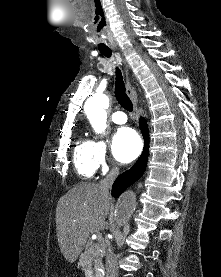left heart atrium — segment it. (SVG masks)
Masks as SVG:
<instances>
[{
	"instance_id": "left-heart-atrium-1",
	"label": "left heart atrium",
	"mask_w": 221,
	"mask_h": 277,
	"mask_svg": "<svg viewBox=\"0 0 221 277\" xmlns=\"http://www.w3.org/2000/svg\"><path fill=\"white\" fill-rule=\"evenodd\" d=\"M141 148V139L132 128H120L114 135L112 150L115 158L120 162H131L139 155Z\"/></svg>"
}]
</instances>
